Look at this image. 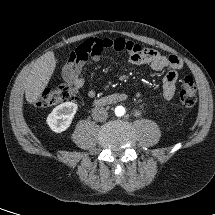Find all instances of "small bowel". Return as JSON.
Instances as JSON below:
<instances>
[{"instance_id":"small-bowel-1","label":"small bowel","mask_w":215,"mask_h":215,"mask_svg":"<svg viewBox=\"0 0 215 215\" xmlns=\"http://www.w3.org/2000/svg\"><path fill=\"white\" fill-rule=\"evenodd\" d=\"M105 49L115 51H125L128 53V60L135 65H147L154 71H163L169 69L161 79L163 98L170 101L176 91V82L178 78L177 71L183 67L182 60L174 55H162L155 49L142 48L139 44L124 38H90L79 45L69 56L68 63L65 65L62 76L64 81L74 86L82 88L85 84V78L82 71L87 60L97 62ZM94 90H88L89 98L95 97Z\"/></svg>"}]
</instances>
